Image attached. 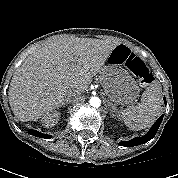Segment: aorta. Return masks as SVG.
I'll return each mask as SVG.
<instances>
[{
	"instance_id": "aorta-1",
	"label": "aorta",
	"mask_w": 178,
	"mask_h": 178,
	"mask_svg": "<svg viewBox=\"0 0 178 178\" xmlns=\"http://www.w3.org/2000/svg\"><path fill=\"white\" fill-rule=\"evenodd\" d=\"M89 102L95 108H98L101 104V100L98 97H91Z\"/></svg>"
}]
</instances>
